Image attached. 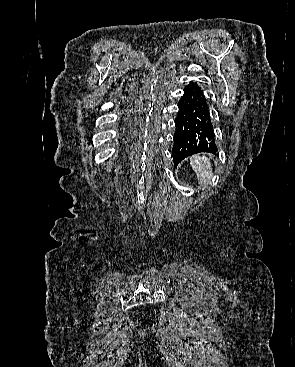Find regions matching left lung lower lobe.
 <instances>
[{"mask_svg": "<svg viewBox=\"0 0 295 367\" xmlns=\"http://www.w3.org/2000/svg\"><path fill=\"white\" fill-rule=\"evenodd\" d=\"M178 107L172 149L175 166L192 154L217 151L210 108L197 83L192 82L184 88Z\"/></svg>", "mask_w": 295, "mask_h": 367, "instance_id": "obj_1", "label": "left lung lower lobe"}]
</instances>
